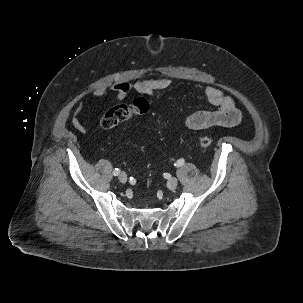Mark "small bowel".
Here are the masks:
<instances>
[{
	"instance_id": "obj_1",
	"label": "small bowel",
	"mask_w": 303,
	"mask_h": 303,
	"mask_svg": "<svg viewBox=\"0 0 303 303\" xmlns=\"http://www.w3.org/2000/svg\"><path fill=\"white\" fill-rule=\"evenodd\" d=\"M171 86V80L166 77L145 79L136 82H117L109 90L98 89L94 95L102 97L108 91L115 94L118 100H123L131 91L149 96L156 95L167 90ZM200 92L206 97L208 102L214 106L213 110L197 111L186 117L184 124L190 130H202L210 127H235L241 122V114L236 108L234 99L226 95L223 91L212 86L200 87ZM85 104L79 102L73 112L71 125L78 132L85 133L87 127L79 118L83 112Z\"/></svg>"
}]
</instances>
